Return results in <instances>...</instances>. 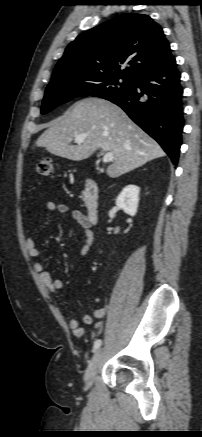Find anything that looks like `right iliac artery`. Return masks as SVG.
<instances>
[{
  "label": "right iliac artery",
  "mask_w": 202,
  "mask_h": 437,
  "mask_svg": "<svg viewBox=\"0 0 202 437\" xmlns=\"http://www.w3.org/2000/svg\"><path fill=\"white\" fill-rule=\"evenodd\" d=\"M102 341L100 339H97L93 346V351H96L101 346Z\"/></svg>",
  "instance_id": "right-iliac-artery-1"
}]
</instances>
